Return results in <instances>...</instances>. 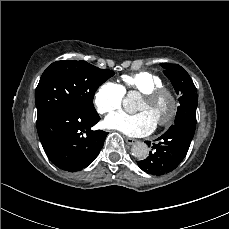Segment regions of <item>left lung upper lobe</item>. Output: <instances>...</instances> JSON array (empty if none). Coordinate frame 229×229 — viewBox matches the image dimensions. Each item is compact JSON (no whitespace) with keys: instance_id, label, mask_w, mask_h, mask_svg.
Segmentation results:
<instances>
[{"instance_id":"left-lung-upper-lobe-1","label":"left lung upper lobe","mask_w":229,"mask_h":229,"mask_svg":"<svg viewBox=\"0 0 229 229\" xmlns=\"http://www.w3.org/2000/svg\"><path fill=\"white\" fill-rule=\"evenodd\" d=\"M161 66L165 69L164 74L170 79L176 93L180 95L175 123L173 126H188L190 131L195 132L197 93L196 87L186 72L177 64L164 63ZM188 124V125H187Z\"/></svg>"}]
</instances>
